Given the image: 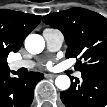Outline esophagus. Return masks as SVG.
Here are the masks:
<instances>
[{
  "label": "esophagus",
  "mask_w": 107,
  "mask_h": 107,
  "mask_svg": "<svg viewBox=\"0 0 107 107\" xmlns=\"http://www.w3.org/2000/svg\"><path fill=\"white\" fill-rule=\"evenodd\" d=\"M56 76H57L56 74H50V73L45 74V77L47 78H55Z\"/></svg>",
  "instance_id": "34e87169"
}]
</instances>
